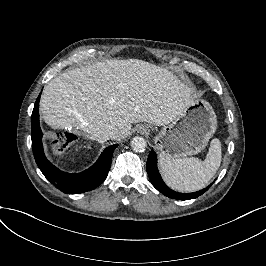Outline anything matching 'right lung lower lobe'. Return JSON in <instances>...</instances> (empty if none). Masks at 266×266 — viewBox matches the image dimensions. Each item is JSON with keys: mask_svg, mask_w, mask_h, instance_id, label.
<instances>
[{"mask_svg": "<svg viewBox=\"0 0 266 266\" xmlns=\"http://www.w3.org/2000/svg\"><path fill=\"white\" fill-rule=\"evenodd\" d=\"M38 96L31 116L32 149L35 161L44 176L59 190L66 194H78L98 187L106 179L111 167L112 154L117 144L107 147L96 163L81 173H67L52 165L44 155L42 131L39 126Z\"/></svg>", "mask_w": 266, "mask_h": 266, "instance_id": "right-lung-lower-lobe-1", "label": "right lung lower lobe"}]
</instances>
